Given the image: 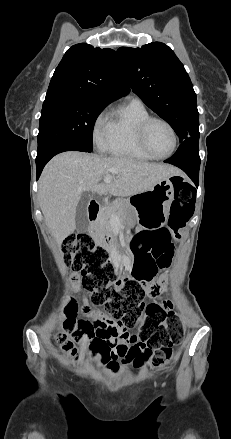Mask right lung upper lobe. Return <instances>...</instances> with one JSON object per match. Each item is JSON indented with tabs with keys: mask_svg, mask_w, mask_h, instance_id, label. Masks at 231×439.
Wrapping results in <instances>:
<instances>
[{
	"mask_svg": "<svg viewBox=\"0 0 231 439\" xmlns=\"http://www.w3.org/2000/svg\"><path fill=\"white\" fill-rule=\"evenodd\" d=\"M129 91L114 50L80 43L64 54L43 104L85 100L108 105Z\"/></svg>",
	"mask_w": 231,
	"mask_h": 439,
	"instance_id": "obj_1",
	"label": "right lung upper lobe"
}]
</instances>
